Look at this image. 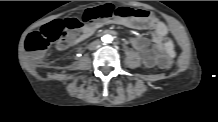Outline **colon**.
Here are the masks:
<instances>
[{
	"mask_svg": "<svg viewBox=\"0 0 218 122\" xmlns=\"http://www.w3.org/2000/svg\"><path fill=\"white\" fill-rule=\"evenodd\" d=\"M136 18V23L144 28H150L154 24V18L150 11L144 7L128 6L127 4L104 3L98 6H89L81 11V20L90 23L93 20L105 18ZM79 22L74 15H65L58 20H51L47 27L39 35H29L25 39V48L32 53L39 52L44 43L48 45L55 44L63 36L74 32L78 28ZM173 59L163 57L158 61V66L162 72H169L173 66Z\"/></svg>",
	"mask_w": 218,
	"mask_h": 122,
	"instance_id": "obj_1",
	"label": "colon"
}]
</instances>
